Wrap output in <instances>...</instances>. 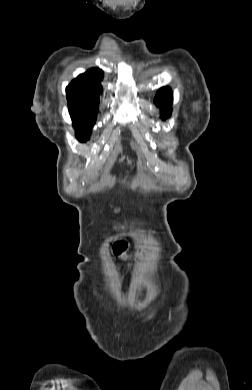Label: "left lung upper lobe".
<instances>
[{"instance_id": "5c2ea615", "label": "left lung upper lobe", "mask_w": 252, "mask_h": 390, "mask_svg": "<svg viewBox=\"0 0 252 390\" xmlns=\"http://www.w3.org/2000/svg\"><path fill=\"white\" fill-rule=\"evenodd\" d=\"M173 97L172 92L169 87H162L156 94L154 102L157 106L161 107V109L164 111L161 118L162 120H165L166 118L170 117L171 115V109L170 106L172 104Z\"/></svg>"}]
</instances>
